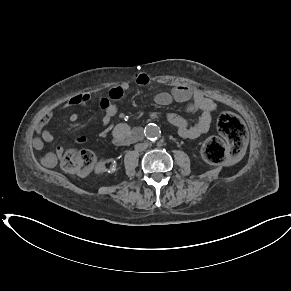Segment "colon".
<instances>
[{
    "label": "colon",
    "mask_w": 291,
    "mask_h": 291,
    "mask_svg": "<svg viewBox=\"0 0 291 291\" xmlns=\"http://www.w3.org/2000/svg\"><path fill=\"white\" fill-rule=\"evenodd\" d=\"M217 128L226 142L215 136L208 138L203 145L202 155L207 162L219 165L240 155L247 130L241 119L230 111H224L218 116ZM95 161L94 151L72 149L62 155L61 166L68 173L86 176L91 172Z\"/></svg>",
    "instance_id": "5ec220e1"
}]
</instances>
